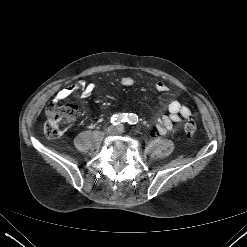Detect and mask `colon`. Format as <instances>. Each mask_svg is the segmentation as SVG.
Listing matches in <instances>:
<instances>
[{"label": "colon", "mask_w": 247, "mask_h": 247, "mask_svg": "<svg viewBox=\"0 0 247 247\" xmlns=\"http://www.w3.org/2000/svg\"><path fill=\"white\" fill-rule=\"evenodd\" d=\"M76 112V107L71 104L58 105L55 102L48 104L44 125L45 135L49 138L61 136L75 118ZM196 129L197 125L194 120H188L184 125V132L188 136H192Z\"/></svg>", "instance_id": "obj_1"}]
</instances>
